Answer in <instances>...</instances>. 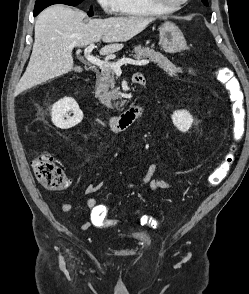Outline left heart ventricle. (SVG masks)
Returning a JSON list of instances; mask_svg holds the SVG:
<instances>
[{
    "mask_svg": "<svg viewBox=\"0 0 249 294\" xmlns=\"http://www.w3.org/2000/svg\"><path fill=\"white\" fill-rule=\"evenodd\" d=\"M164 4L169 6H175L177 4H180L184 0H161Z\"/></svg>",
    "mask_w": 249,
    "mask_h": 294,
    "instance_id": "1",
    "label": "left heart ventricle"
}]
</instances>
